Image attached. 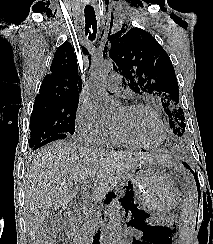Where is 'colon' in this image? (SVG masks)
I'll return each instance as SVG.
<instances>
[{
	"label": "colon",
	"mask_w": 213,
	"mask_h": 244,
	"mask_svg": "<svg viewBox=\"0 0 213 244\" xmlns=\"http://www.w3.org/2000/svg\"><path fill=\"white\" fill-rule=\"evenodd\" d=\"M38 244H54L53 235L51 233H46L42 235L39 239ZM136 244H144V243H136Z\"/></svg>",
	"instance_id": "5ec220e1"
}]
</instances>
